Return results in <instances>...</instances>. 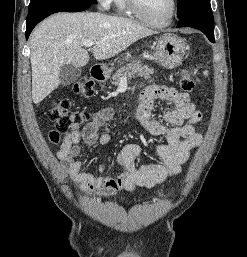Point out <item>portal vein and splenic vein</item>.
<instances>
[{
    "mask_svg": "<svg viewBox=\"0 0 247 257\" xmlns=\"http://www.w3.org/2000/svg\"><path fill=\"white\" fill-rule=\"evenodd\" d=\"M95 43H96V42L93 41V40H86V41L84 42V46L89 48V47H92ZM121 81L126 82L127 80H126V78H122Z\"/></svg>",
    "mask_w": 247,
    "mask_h": 257,
    "instance_id": "obj_1",
    "label": "portal vein and splenic vein"
}]
</instances>
